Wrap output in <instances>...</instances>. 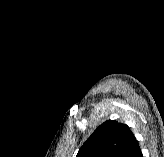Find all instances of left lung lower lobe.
Wrapping results in <instances>:
<instances>
[{
    "label": "left lung lower lobe",
    "instance_id": "0a47b994",
    "mask_svg": "<svg viewBox=\"0 0 164 157\" xmlns=\"http://www.w3.org/2000/svg\"><path fill=\"white\" fill-rule=\"evenodd\" d=\"M126 157H143L137 140L131 145Z\"/></svg>",
    "mask_w": 164,
    "mask_h": 157
}]
</instances>
